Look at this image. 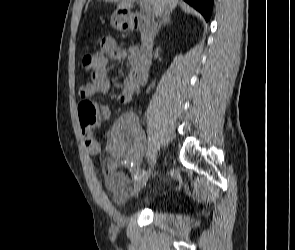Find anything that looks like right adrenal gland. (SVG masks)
<instances>
[{
  "instance_id": "1",
  "label": "right adrenal gland",
  "mask_w": 295,
  "mask_h": 250,
  "mask_svg": "<svg viewBox=\"0 0 295 250\" xmlns=\"http://www.w3.org/2000/svg\"><path fill=\"white\" fill-rule=\"evenodd\" d=\"M169 23H171V17H170V14L165 12V14L163 15L162 17V21L159 23L158 25V29H157V32H159L160 28L162 25H168Z\"/></svg>"
}]
</instances>
